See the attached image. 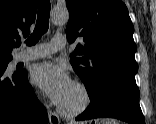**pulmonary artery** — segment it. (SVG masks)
<instances>
[{"label": "pulmonary artery", "mask_w": 156, "mask_h": 124, "mask_svg": "<svg viewBox=\"0 0 156 124\" xmlns=\"http://www.w3.org/2000/svg\"><path fill=\"white\" fill-rule=\"evenodd\" d=\"M65 45V37L63 35H56L50 42L39 44L32 49L21 52L18 55L17 60L18 62H27L42 58L63 49Z\"/></svg>", "instance_id": "pulmonary-artery-1"}]
</instances>
